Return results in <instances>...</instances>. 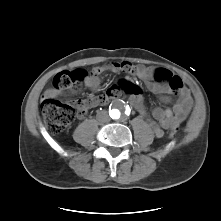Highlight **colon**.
Segmentation results:
<instances>
[{
  "instance_id": "obj_1",
  "label": "colon",
  "mask_w": 221,
  "mask_h": 221,
  "mask_svg": "<svg viewBox=\"0 0 221 221\" xmlns=\"http://www.w3.org/2000/svg\"><path fill=\"white\" fill-rule=\"evenodd\" d=\"M154 76L156 81L168 86L172 91L179 93L183 89V84L178 76L163 69L149 71ZM87 75L83 70H67L57 73L52 80V87L56 92L64 90H77L78 84ZM124 91L129 94H142L140 87L133 83H129ZM56 96L44 95L41 101V109L45 118L48 129L53 133L64 131L71 123L75 116V110L72 105L63 103L55 98ZM178 133L176 127L171 128L170 136L175 137Z\"/></svg>"
}]
</instances>
